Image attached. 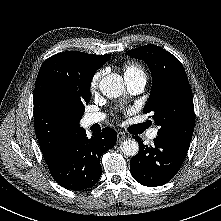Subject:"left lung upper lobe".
Wrapping results in <instances>:
<instances>
[{"label":"left lung upper lobe","mask_w":221,"mask_h":221,"mask_svg":"<svg viewBox=\"0 0 221 221\" xmlns=\"http://www.w3.org/2000/svg\"><path fill=\"white\" fill-rule=\"evenodd\" d=\"M130 57L143 60L152 73V88L144 113L152 112L157 135L190 145L195 115L190 84L180 61L157 45L129 50Z\"/></svg>","instance_id":"5c2ea615"}]
</instances>
